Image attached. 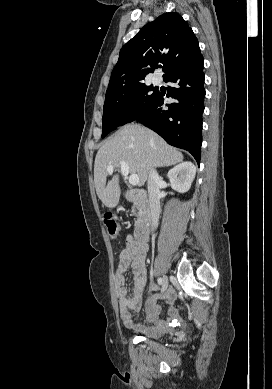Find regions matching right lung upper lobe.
I'll return each instance as SVG.
<instances>
[{
	"mask_svg": "<svg viewBox=\"0 0 272 389\" xmlns=\"http://www.w3.org/2000/svg\"><path fill=\"white\" fill-rule=\"evenodd\" d=\"M201 56L198 40L186 21L175 12L146 24L120 50L107 92L142 83L158 64L166 78Z\"/></svg>",
	"mask_w": 272,
	"mask_h": 389,
	"instance_id": "obj_1",
	"label": "right lung upper lobe"
}]
</instances>
